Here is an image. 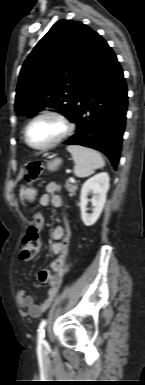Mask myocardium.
I'll return each instance as SVG.
<instances>
[{
	"instance_id": "obj_1",
	"label": "myocardium",
	"mask_w": 145,
	"mask_h": 385,
	"mask_svg": "<svg viewBox=\"0 0 145 385\" xmlns=\"http://www.w3.org/2000/svg\"><path fill=\"white\" fill-rule=\"evenodd\" d=\"M43 117H53L57 120H59L63 125H64V131L63 133L57 138L55 139L54 141L44 145V146H34L32 145L30 142H29V139H28V131H29V128L30 126L38 119L40 118H43ZM74 124L73 122L68 118V116H66L64 113L60 112V111H57V110H44V111H41L39 112L38 114H36L35 116H33L29 121L28 123L26 124L25 128H24V141L26 143V145L28 147H30L31 149H34V150H38V151H42V150H47V149H50L54 146H56L57 144L63 142L64 140H66L69 136L72 135L73 131H74Z\"/></svg>"
}]
</instances>
